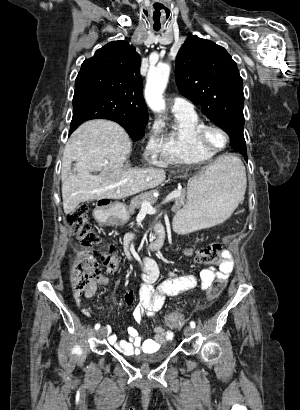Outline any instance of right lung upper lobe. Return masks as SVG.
Masks as SVG:
<instances>
[{
    "instance_id": "obj_1",
    "label": "right lung upper lobe",
    "mask_w": 300,
    "mask_h": 410,
    "mask_svg": "<svg viewBox=\"0 0 300 410\" xmlns=\"http://www.w3.org/2000/svg\"><path fill=\"white\" fill-rule=\"evenodd\" d=\"M141 59L135 47L113 41L82 63L75 87L89 86L103 92L112 103V113L128 119H148L142 96Z\"/></svg>"
}]
</instances>
